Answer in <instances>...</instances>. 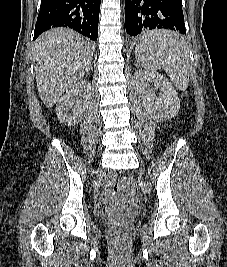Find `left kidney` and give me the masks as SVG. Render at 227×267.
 <instances>
[{"label": "left kidney", "mask_w": 227, "mask_h": 267, "mask_svg": "<svg viewBox=\"0 0 227 267\" xmlns=\"http://www.w3.org/2000/svg\"><path fill=\"white\" fill-rule=\"evenodd\" d=\"M137 91L146 111L156 122H164L176 116L180 100L172 83L156 71L138 70L134 74ZM160 90L159 96L155 91Z\"/></svg>", "instance_id": "left-kidney-1"}]
</instances>
